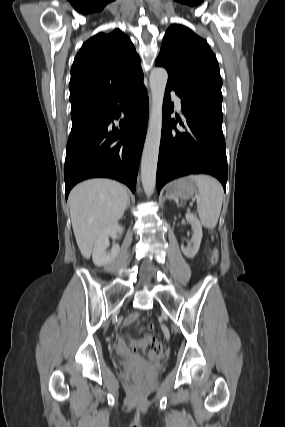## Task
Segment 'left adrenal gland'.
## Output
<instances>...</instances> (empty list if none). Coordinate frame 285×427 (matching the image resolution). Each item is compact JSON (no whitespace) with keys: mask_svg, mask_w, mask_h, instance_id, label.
Listing matches in <instances>:
<instances>
[{"mask_svg":"<svg viewBox=\"0 0 285 427\" xmlns=\"http://www.w3.org/2000/svg\"><path fill=\"white\" fill-rule=\"evenodd\" d=\"M165 199L171 200V198L169 197V195H168V194H166V195H165L164 200H165Z\"/></svg>","mask_w":285,"mask_h":427,"instance_id":"left-adrenal-gland-1","label":"left adrenal gland"}]
</instances>
